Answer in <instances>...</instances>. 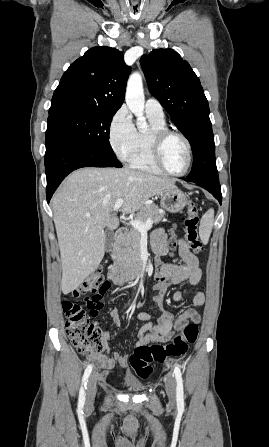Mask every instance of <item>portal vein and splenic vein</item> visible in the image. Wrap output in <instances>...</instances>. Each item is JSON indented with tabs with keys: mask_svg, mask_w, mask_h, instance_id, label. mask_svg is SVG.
Returning a JSON list of instances; mask_svg holds the SVG:
<instances>
[{
	"mask_svg": "<svg viewBox=\"0 0 269 447\" xmlns=\"http://www.w3.org/2000/svg\"><path fill=\"white\" fill-rule=\"evenodd\" d=\"M122 204L123 200H116L113 212H116V210H120ZM87 218H90V216H87ZM150 220L151 217H148L146 224H144V222H141V220H130L129 224L133 225V227H135V229H138V231H148V229H151L152 227V222H150Z\"/></svg>",
	"mask_w": 269,
	"mask_h": 447,
	"instance_id": "18ae733b",
	"label": "portal vein and splenic vein"
}]
</instances>
